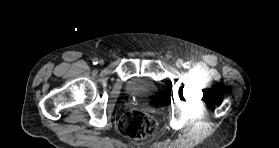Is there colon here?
<instances>
[{
  "mask_svg": "<svg viewBox=\"0 0 279 148\" xmlns=\"http://www.w3.org/2000/svg\"><path fill=\"white\" fill-rule=\"evenodd\" d=\"M121 134L134 139L143 140L152 136L158 129L157 120L150 114L140 110H129L119 120Z\"/></svg>",
  "mask_w": 279,
  "mask_h": 148,
  "instance_id": "colon-1",
  "label": "colon"
}]
</instances>
